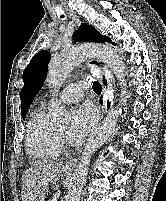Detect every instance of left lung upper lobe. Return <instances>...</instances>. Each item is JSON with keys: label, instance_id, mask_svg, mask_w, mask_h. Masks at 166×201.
<instances>
[{"label": "left lung upper lobe", "instance_id": "1", "mask_svg": "<svg viewBox=\"0 0 166 201\" xmlns=\"http://www.w3.org/2000/svg\"><path fill=\"white\" fill-rule=\"evenodd\" d=\"M73 38L76 42L80 41H94L105 43L109 42L116 45L111 41L108 36L101 35L93 26L87 24H81L78 31L73 34ZM50 60V53L48 51H40L34 55L29 65L23 72L24 86L21 89V113L25 118L27 110L31 105L38 90L42 87V82L47 74V64Z\"/></svg>", "mask_w": 166, "mask_h": 201}]
</instances>
